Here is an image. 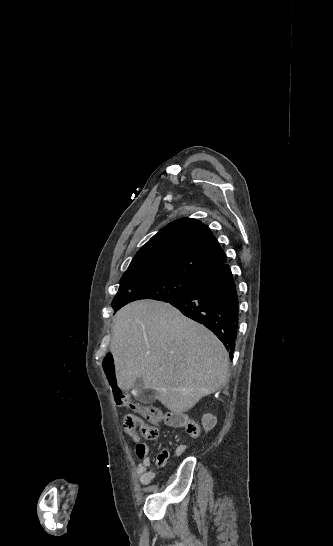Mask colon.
I'll use <instances>...</instances> for the list:
<instances>
[{"label": "colon", "instance_id": "obj_1", "mask_svg": "<svg viewBox=\"0 0 333 546\" xmlns=\"http://www.w3.org/2000/svg\"><path fill=\"white\" fill-rule=\"evenodd\" d=\"M114 367V355L109 353L103 359V369L109 379V385L111 386V390L113 391L115 403L120 407L130 408L145 416L146 418H148L150 415H154L155 409L140 406L131 398V396L127 392L118 389L114 374ZM123 427L125 432L129 435L136 433V428L139 427L142 437L148 440H153L157 438L159 434L158 428L155 425L144 422L135 413H130L125 416Z\"/></svg>", "mask_w": 333, "mask_h": 546}]
</instances>
